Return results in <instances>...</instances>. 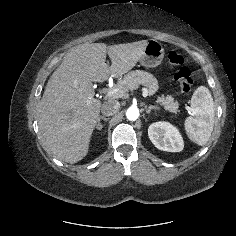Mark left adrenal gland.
<instances>
[{
    "label": "left adrenal gland",
    "instance_id": "1",
    "mask_svg": "<svg viewBox=\"0 0 236 236\" xmlns=\"http://www.w3.org/2000/svg\"><path fill=\"white\" fill-rule=\"evenodd\" d=\"M159 108L157 106H153V105H150V106H145V111L147 114H149L151 112V110H158Z\"/></svg>",
    "mask_w": 236,
    "mask_h": 236
}]
</instances>
